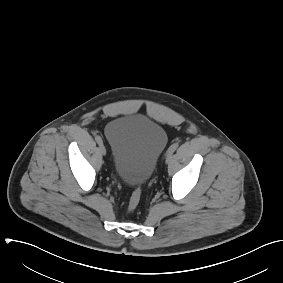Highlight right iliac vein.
Listing matches in <instances>:
<instances>
[{
    "instance_id": "right-iliac-vein-1",
    "label": "right iliac vein",
    "mask_w": 283,
    "mask_h": 283,
    "mask_svg": "<svg viewBox=\"0 0 283 283\" xmlns=\"http://www.w3.org/2000/svg\"><path fill=\"white\" fill-rule=\"evenodd\" d=\"M99 150L102 155H106V148L103 144L100 145Z\"/></svg>"
}]
</instances>
